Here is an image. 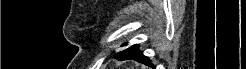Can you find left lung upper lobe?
<instances>
[{"label": "left lung upper lobe", "mask_w": 246, "mask_h": 69, "mask_svg": "<svg viewBox=\"0 0 246 69\" xmlns=\"http://www.w3.org/2000/svg\"><path fill=\"white\" fill-rule=\"evenodd\" d=\"M126 45H127V43L123 44L122 46H126Z\"/></svg>", "instance_id": "obj_1"}]
</instances>
